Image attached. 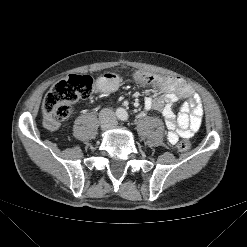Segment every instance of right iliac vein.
<instances>
[{"label":"right iliac vein","instance_id":"1","mask_svg":"<svg viewBox=\"0 0 247 247\" xmlns=\"http://www.w3.org/2000/svg\"><path fill=\"white\" fill-rule=\"evenodd\" d=\"M102 128H104V129H105V128H106V125H105V124H102Z\"/></svg>","mask_w":247,"mask_h":247}]
</instances>
